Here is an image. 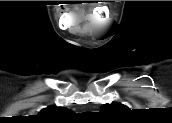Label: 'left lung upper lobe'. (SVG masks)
<instances>
[{
	"label": "left lung upper lobe",
	"mask_w": 172,
	"mask_h": 123,
	"mask_svg": "<svg viewBox=\"0 0 172 123\" xmlns=\"http://www.w3.org/2000/svg\"><path fill=\"white\" fill-rule=\"evenodd\" d=\"M123 108H127V107L121 103H111V104L102 105L101 111H103V112H118V111H121Z\"/></svg>",
	"instance_id": "left-lung-upper-lobe-1"
}]
</instances>
